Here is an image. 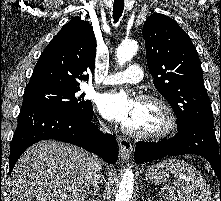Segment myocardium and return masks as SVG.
<instances>
[{"instance_id": "obj_1", "label": "myocardium", "mask_w": 221, "mask_h": 201, "mask_svg": "<svg viewBox=\"0 0 221 201\" xmlns=\"http://www.w3.org/2000/svg\"><path fill=\"white\" fill-rule=\"evenodd\" d=\"M150 102L156 104L161 110L164 118V125L156 131H137L127 125H123V130L134 137L141 139H163L174 133L177 126L175 113L169 103L161 96L156 94H142L137 97V103Z\"/></svg>"}]
</instances>
